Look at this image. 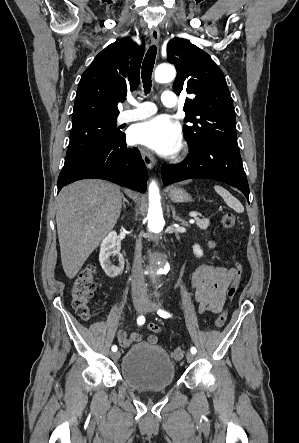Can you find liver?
Returning <instances> with one entry per match:
<instances>
[{
	"mask_svg": "<svg viewBox=\"0 0 299 443\" xmlns=\"http://www.w3.org/2000/svg\"><path fill=\"white\" fill-rule=\"evenodd\" d=\"M122 199L120 188L103 180L77 181L60 191L56 200V223L61 262L68 278L77 275L114 228Z\"/></svg>",
	"mask_w": 299,
	"mask_h": 443,
	"instance_id": "1",
	"label": "liver"
}]
</instances>
